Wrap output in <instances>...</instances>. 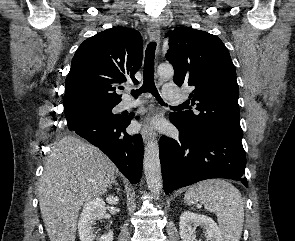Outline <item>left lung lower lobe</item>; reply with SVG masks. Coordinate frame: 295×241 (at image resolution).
I'll return each instance as SVG.
<instances>
[{
  "mask_svg": "<svg viewBox=\"0 0 295 241\" xmlns=\"http://www.w3.org/2000/svg\"><path fill=\"white\" fill-rule=\"evenodd\" d=\"M170 121L179 129V139L162 137L160 162L163 187L166 194L210 178H227L241 181L244 177L246 156L242 142L227 136L211 133H186L174 117Z\"/></svg>",
  "mask_w": 295,
  "mask_h": 241,
  "instance_id": "0a47b994",
  "label": "left lung lower lobe"
}]
</instances>
